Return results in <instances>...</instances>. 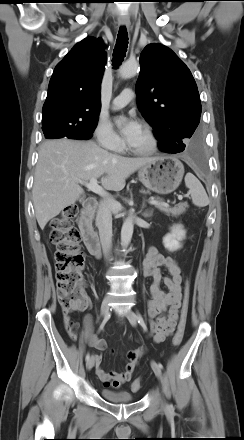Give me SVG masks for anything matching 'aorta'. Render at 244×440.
I'll return each mask as SVG.
<instances>
[{
  "label": "aorta",
  "instance_id": "762f6f07",
  "mask_svg": "<svg viewBox=\"0 0 244 440\" xmlns=\"http://www.w3.org/2000/svg\"><path fill=\"white\" fill-rule=\"evenodd\" d=\"M137 70H138L137 62H126L120 67L119 73L122 78L127 79L135 75ZM133 229H134L133 220L131 218L126 219L121 229V244L123 246H127L131 242Z\"/></svg>",
  "mask_w": 244,
  "mask_h": 440
}]
</instances>
